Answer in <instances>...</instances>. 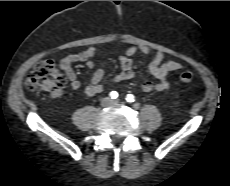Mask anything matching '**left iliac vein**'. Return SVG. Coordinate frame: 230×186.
Returning a JSON list of instances; mask_svg holds the SVG:
<instances>
[{
	"label": "left iliac vein",
	"instance_id": "left-iliac-vein-1",
	"mask_svg": "<svg viewBox=\"0 0 230 186\" xmlns=\"http://www.w3.org/2000/svg\"><path fill=\"white\" fill-rule=\"evenodd\" d=\"M114 103H119V100H115Z\"/></svg>",
	"mask_w": 230,
	"mask_h": 186
}]
</instances>
